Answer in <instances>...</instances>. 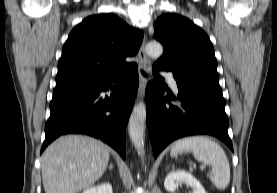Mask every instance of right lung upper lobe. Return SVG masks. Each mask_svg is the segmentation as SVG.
<instances>
[{"mask_svg":"<svg viewBox=\"0 0 277 193\" xmlns=\"http://www.w3.org/2000/svg\"><path fill=\"white\" fill-rule=\"evenodd\" d=\"M142 39L141 30L112 13L87 17L63 46L56 86L102 79L129 67L125 58L137 53Z\"/></svg>","mask_w":277,"mask_h":193,"instance_id":"1","label":"right lung upper lobe"}]
</instances>
